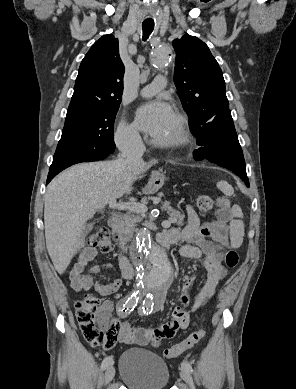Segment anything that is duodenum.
Here are the masks:
<instances>
[{"mask_svg":"<svg viewBox=\"0 0 296 389\" xmlns=\"http://www.w3.org/2000/svg\"><path fill=\"white\" fill-rule=\"evenodd\" d=\"M119 223H120V220H119L117 215H112L108 220V225H109L110 229L112 230V232L114 233L116 240L119 239V236H118ZM159 243L164 248H169L171 244L175 243V240L173 238H171L170 236L162 235L159 237ZM120 267L122 270V274L126 279H131L134 276V268H133L131 262L123 256L120 257Z\"/></svg>","mask_w":296,"mask_h":389,"instance_id":"410a0bca","label":"duodenum"}]
</instances>
